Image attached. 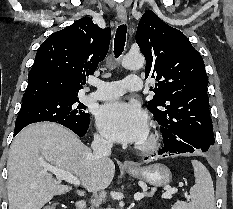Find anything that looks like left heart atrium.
I'll return each mask as SVG.
<instances>
[{
  "label": "left heart atrium",
  "mask_w": 233,
  "mask_h": 209,
  "mask_svg": "<svg viewBox=\"0 0 233 209\" xmlns=\"http://www.w3.org/2000/svg\"><path fill=\"white\" fill-rule=\"evenodd\" d=\"M96 121L100 131L117 142L138 143L148 132L146 113L135 102H107L98 108Z\"/></svg>",
  "instance_id": "left-heart-atrium-1"
}]
</instances>
